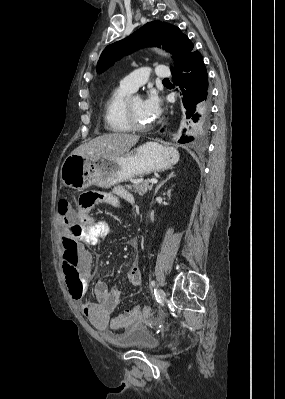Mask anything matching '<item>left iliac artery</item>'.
<instances>
[{
  "label": "left iliac artery",
  "instance_id": "obj_1",
  "mask_svg": "<svg viewBox=\"0 0 285 399\" xmlns=\"http://www.w3.org/2000/svg\"><path fill=\"white\" fill-rule=\"evenodd\" d=\"M150 285H151V287H154V286H155V281L152 280L151 283H150Z\"/></svg>",
  "mask_w": 285,
  "mask_h": 399
}]
</instances>
